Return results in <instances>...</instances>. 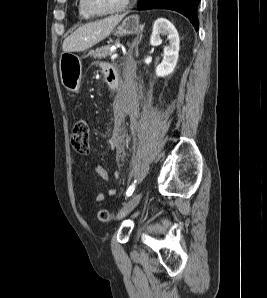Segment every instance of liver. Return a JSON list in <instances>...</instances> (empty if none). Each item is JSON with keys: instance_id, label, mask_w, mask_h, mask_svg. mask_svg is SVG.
I'll use <instances>...</instances> for the list:
<instances>
[{"instance_id": "6515ba94", "label": "liver", "mask_w": 267, "mask_h": 298, "mask_svg": "<svg viewBox=\"0 0 267 298\" xmlns=\"http://www.w3.org/2000/svg\"><path fill=\"white\" fill-rule=\"evenodd\" d=\"M123 17L124 15H114L82 25L64 40L63 52H81L91 48L109 36Z\"/></svg>"}]
</instances>
